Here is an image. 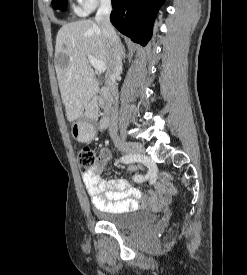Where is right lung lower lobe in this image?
I'll list each match as a JSON object with an SVG mask.
<instances>
[{
    "mask_svg": "<svg viewBox=\"0 0 247 275\" xmlns=\"http://www.w3.org/2000/svg\"><path fill=\"white\" fill-rule=\"evenodd\" d=\"M165 0H112V24L134 42L146 45L152 23Z\"/></svg>",
    "mask_w": 247,
    "mask_h": 275,
    "instance_id": "obj_1",
    "label": "right lung lower lobe"
}]
</instances>
